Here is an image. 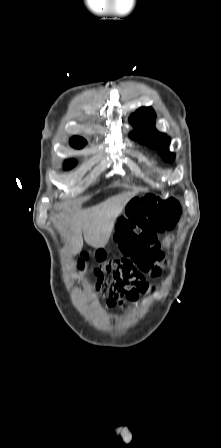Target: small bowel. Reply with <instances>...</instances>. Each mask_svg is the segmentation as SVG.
<instances>
[{
    "mask_svg": "<svg viewBox=\"0 0 221 448\" xmlns=\"http://www.w3.org/2000/svg\"><path fill=\"white\" fill-rule=\"evenodd\" d=\"M140 216H141V218H143V219L146 220V214H145L143 211H141ZM171 241H172V236H167V237L163 240V242H162L163 247H164V248H167V247L170 245ZM131 242H133V239L128 240L127 243H124V242H122V241H118V243H119L120 246H121L122 252H123L125 255H127V256H128L130 253H129V251H127V249H126V245L129 244V243H131ZM108 296H109V298H108V300L106 301V305H107L109 308H115V307H117L118 305H122V306L124 305V301H123V292H122V291H120V290H116V289L109 290V292H108Z\"/></svg>",
    "mask_w": 221,
    "mask_h": 448,
    "instance_id": "1",
    "label": "small bowel"
}]
</instances>
